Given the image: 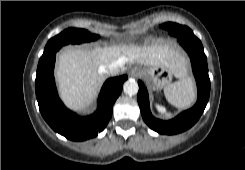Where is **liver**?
I'll return each instance as SVG.
<instances>
[{
	"instance_id": "liver-1",
	"label": "liver",
	"mask_w": 245,
	"mask_h": 170,
	"mask_svg": "<svg viewBox=\"0 0 245 170\" xmlns=\"http://www.w3.org/2000/svg\"><path fill=\"white\" fill-rule=\"evenodd\" d=\"M117 64L122 71L126 64L169 66L177 77L186 75L185 60L170 44L154 42L150 45H113L109 47H68L58 56L55 76L64 103L73 110L91 105L102 86L103 67Z\"/></svg>"
}]
</instances>
